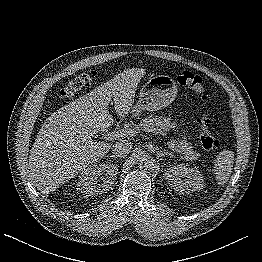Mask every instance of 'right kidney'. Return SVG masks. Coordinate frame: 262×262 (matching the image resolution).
<instances>
[{
    "mask_svg": "<svg viewBox=\"0 0 262 262\" xmlns=\"http://www.w3.org/2000/svg\"><path fill=\"white\" fill-rule=\"evenodd\" d=\"M118 173V168L115 165H94L90 168L84 169L82 171L80 177V181L78 182V186H81V191L84 193L86 197L94 195V193H100L109 191L112 189V185L116 180V175ZM104 174L101 177V184H97L98 176Z\"/></svg>",
    "mask_w": 262,
    "mask_h": 262,
    "instance_id": "1",
    "label": "right kidney"
}]
</instances>
